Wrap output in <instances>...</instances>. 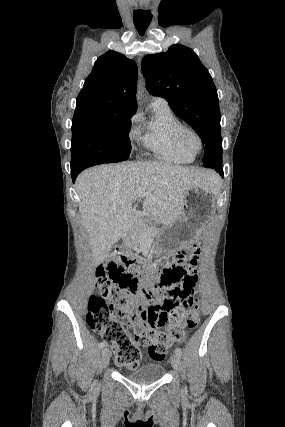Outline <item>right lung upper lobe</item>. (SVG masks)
Returning <instances> with one entry per match:
<instances>
[{"label":"right lung upper lobe","instance_id":"1","mask_svg":"<svg viewBox=\"0 0 285 427\" xmlns=\"http://www.w3.org/2000/svg\"><path fill=\"white\" fill-rule=\"evenodd\" d=\"M137 65L116 51H108L94 63L77 97L72 122L132 116L137 110Z\"/></svg>","mask_w":285,"mask_h":427}]
</instances>
